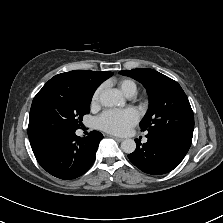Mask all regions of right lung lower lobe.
<instances>
[{
  "label": "right lung lower lobe",
  "instance_id": "1",
  "mask_svg": "<svg viewBox=\"0 0 223 223\" xmlns=\"http://www.w3.org/2000/svg\"><path fill=\"white\" fill-rule=\"evenodd\" d=\"M102 138L98 131H92L84 138L71 132L31 144V147L44 170L57 178L70 180L90 168Z\"/></svg>",
  "mask_w": 223,
  "mask_h": 223
}]
</instances>
